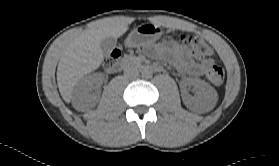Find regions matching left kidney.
<instances>
[{
  "instance_id": "1",
  "label": "left kidney",
  "mask_w": 279,
  "mask_h": 166,
  "mask_svg": "<svg viewBox=\"0 0 279 166\" xmlns=\"http://www.w3.org/2000/svg\"><path fill=\"white\" fill-rule=\"evenodd\" d=\"M183 83L192 86L195 95L191 96L187 91L182 90V100L186 107L192 110H199L210 107L215 103L217 92L207 82L196 78H185Z\"/></svg>"
}]
</instances>
